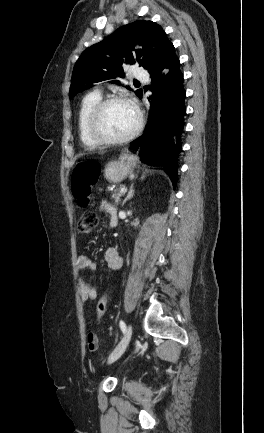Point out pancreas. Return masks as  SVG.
Listing matches in <instances>:
<instances>
[{"mask_svg": "<svg viewBox=\"0 0 264 433\" xmlns=\"http://www.w3.org/2000/svg\"><path fill=\"white\" fill-rule=\"evenodd\" d=\"M123 194L124 193H121L119 190H114L112 192V198L115 200L116 203H118Z\"/></svg>", "mask_w": 264, "mask_h": 433, "instance_id": "cf45deb5", "label": "pancreas"}]
</instances>
